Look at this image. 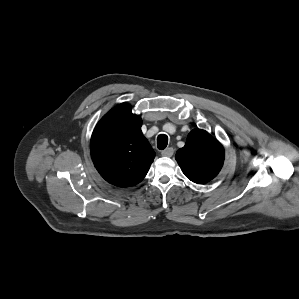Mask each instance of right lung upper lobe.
<instances>
[{
    "mask_svg": "<svg viewBox=\"0 0 299 299\" xmlns=\"http://www.w3.org/2000/svg\"><path fill=\"white\" fill-rule=\"evenodd\" d=\"M140 116L127 104L111 109L96 125L91 137V157L110 184L129 187L146 176L155 152L141 131Z\"/></svg>",
    "mask_w": 299,
    "mask_h": 299,
    "instance_id": "1",
    "label": "right lung upper lobe"
}]
</instances>
